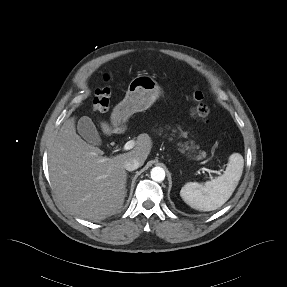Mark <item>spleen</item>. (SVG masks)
I'll use <instances>...</instances> for the list:
<instances>
[{
	"label": "spleen",
	"instance_id": "3e777b00",
	"mask_svg": "<svg viewBox=\"0 0 287 287\" xmlns=\"http://www.w3.org/2000/svg\"><path fill=\"white\" fill-rule=\"evenodd\" d=\"M243 156L233 153L229 156L224 174L205 184L189 182L185 184L180 196L191 208L199 211H213L221 207L233 194L242 176Z\"/></svg>",
	"mask_w": 287,
	"mask_h": 287
}]
</instances>
